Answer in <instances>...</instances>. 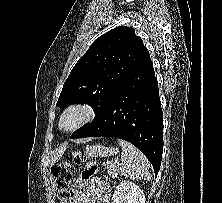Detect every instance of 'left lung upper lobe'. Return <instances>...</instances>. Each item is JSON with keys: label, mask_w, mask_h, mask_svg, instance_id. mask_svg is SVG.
I'll list each match as a JSON object with an SVG mask.
<instances>
[{"label": "left lung upper lobe", "mask_w": 222, "mask_h": 203, "mask_svg": "<svg viewBox=\"0 0 222 203\" xmlns=\"http://www.w3.org/2000/svg\"><path fill=\"white\" fill-rule=\"evenodd\" d=\"M147 52L133 28L120 26L108 31L97 38L75 64L56 106L65 108L70 104L85 103L94 109L96 118ZM86 127L75 131L71 138Z\"/></svg>", "instance_id": "1"}]
</instances>
